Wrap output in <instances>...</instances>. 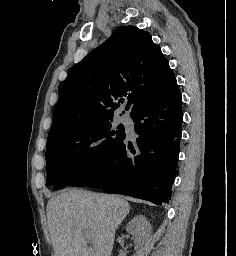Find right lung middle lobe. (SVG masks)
I'll list each match as a JSON object with an SVG mask.
<instances>
[{
    "mask_svg": "<svg viewBox=\"0 0 236 256\" xmlns=\"http://www.w3.org/2000/svg\"><path fill=\"white\" fill-rule=\"evenodd\" d=\"M112 119L78 125L48 138L47 182L55 190L64 188L104 160L125 138L122 124L112 129Z\"/></svg>",
    "mask_w": 236,
    "mask_h": 256,
    "instance_id": "obj_1",
    "label": "right lung middle lobe"
}]
</instances>
